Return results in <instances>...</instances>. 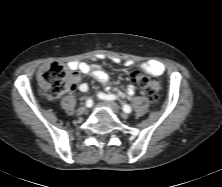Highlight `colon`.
Masks as SVG:
<instances>
[{
	"instance_id": "colon-1",
	"label": "colon",
	"mask_w": 222,
	"mask_h": 187,
	"mask_svg": "<svg viewBox=\"0 0 222 187\" xmlns=\"http://www.w3.org/2000/svg\"><path fill=\"white\" fill-rule=\"evenodd\" d=\"M75 78L76 73L58 62L47 63L38 71V80L43 95L48 100L56 99L63 93L71 91ZM135 80L139 88L148 95L150 101H158V84L149 75L139 73Z\"/></svg>"
}]
</instances>
